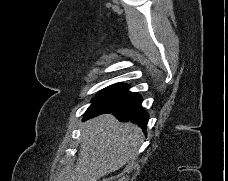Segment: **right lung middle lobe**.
<instances>
[{"label": "right lung middle lobe", "instance_id": "1", "mask_svg": "<svg viewBox=\"0 0 228 181\" xmlns=\"http://www.w3.org/2000/svg\"><path fill=\"white\" fill-rule=\"evenodd\" d=\"M127 87L128 85L125 83H116L105 88L99 95H97L93 99V103L88 108V110L106 104L107 102L117 97L120 93H122Z\"/></svg>", "mask_w": 228, "mask_h": 181}]
</instances>
